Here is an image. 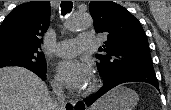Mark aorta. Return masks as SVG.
Instances as JSON below:
<instances>
[{"label":"aorta","instance_id":"762f6f07","mask_svg":"<svg viewBox=\"0 0 171 110\" xmlns=\"http://www.w3.org/2000/svg\"><path fill=\"white\" fill-rule=\"evenodd\" d=\"M92 18L89 14L74 13L66 23V28L70 31H81L89 28Z\"/></svg>","mask_w":171,"mask_h":110}]
</instances>
